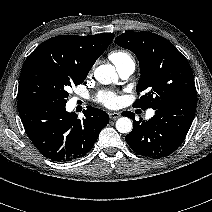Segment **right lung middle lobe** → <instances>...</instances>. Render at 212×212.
Listing matches in <instances>:
<instances>
[{
  "mask_svg": "<svg viewBox=\"0 0 212 212\" xmlns=\"http://www.w3.org/2000/svg\"><path fill=\"white\" fill-rule=\"evenodd\" d=\"M85 78L43 64L31 65L21 71L17 99H38L66 104L67 89L81 84Z\"/></svg>",
  "mask_w": 212,
  "mask_h": 212,
  "instance_id": "right-lung-middle-lobe-1",
  "label": "right lung middle lobe"
}]
</instances>
